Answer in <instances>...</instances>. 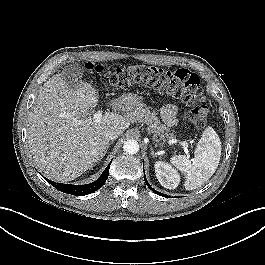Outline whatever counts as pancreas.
<instances>
[{"label":"pancreas","mask_w":265,"mask_h":265,"mask_svg":"<svg viewBox=\"0 0 265 265\" xmlns=\"http://www.w3.org/2000/svg\"><path fill=\"white\" fill-rule=\"evenodd\" d=\"M128 117L135 122H141L146 125L148 133H153L154 138L159 136L161 139L172 138L173 134L169 133V129L161 124L158 117L154 112H151L148 107L143 104L138 105L132 112L128 114Z\"/></svg>","instance_id":"cf45deb5"}]
</instances>
